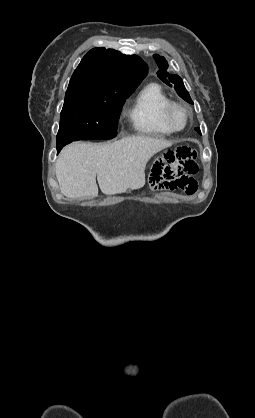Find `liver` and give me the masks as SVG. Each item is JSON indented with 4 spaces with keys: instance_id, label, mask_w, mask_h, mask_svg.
<instances>
[{
    "instance_id": "liver-1",
    "label": "liver",
    "mask_w": 255,
    "mask_h": 418,
    "mask_svg": "<svg viewBox=\"0 0 255 418\" xmlns=\"http://www.w3.org/2000/svg\"><path fill=\"white\" fill-rule=\"evenodd\" d=\"M171 145V141L147 136L102 145L72 143L62 150L55 165L60 190L68 198L97 197L96 176L106 195L140 189L149 159Z\"/></svg>"
}]
</instances>
